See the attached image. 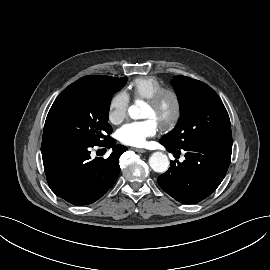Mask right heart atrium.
Masks as SVG:
<instances>
[{
    "mask_svg": "<svg viewBox=\"0 0 270 270\" xmlns=\"http://www.w3.org/2000/svg\"><path fill=\"white\" fill-rule=\"evenodd\" d=\"M129 95L125 91L116 92L109 101L107 117L110 123L120 124L128 114Z\"/></svg>",
    "mask_w": 270,
    "mask_h": 270,
    "instance_id": "d8ad5b80",
    "label": "right heart atrium"
}]
</instances>
